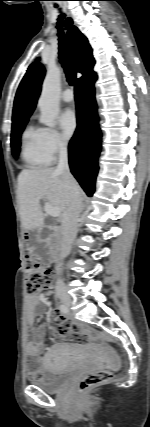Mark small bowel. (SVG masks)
<instances>
[{"label":"small bowel","mask_w":150,"mask_h":427,"mask_svg":"<svg viewBox=\"0 0 150 427\" xmlns=\"http://www.w3.org/2000/svg\"><path fill=\"white\" fill-rule=\"evenodd\" d=\"M49 301L43 296L40 297H29L27 300V319L29 323L30 334H33L34 339L29 340L26 344V352L31 357H37L44 347L43 339L45 337L44 326L34 327V321L39 313L42 311L43 306H48ZM52 318L57 323V333L61 336L74 335L78 336V328L76 325L65 319L59 310H54L51 313ZM48 362V358L46 363ZM30 363V362H29ZM28 375L30 378L38 379L43 378L44 373L29 365Z\"/></svg>","instance_id":"c3829d8e"}]
</instances>
